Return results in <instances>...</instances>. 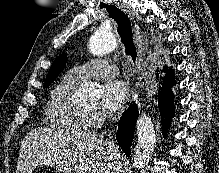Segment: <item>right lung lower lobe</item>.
<instances>
[{"label": "right lung lower lobe", "mask_w": 219, "mask_h": 173, "mask_svg": "<svg viewBox=\"0 0 219 173\" xmlns=\"http://www.w3.org/2000/svg\"><path fill=\"white\" fill-rule=\"evenodd\" d=\"M162 73L166 74V77L164 78L165 83L162 84V88L159 87L158 103L162 122V133L163 137H165L170 127L172 117L174 116V100L172 99L174 95L171 91V87L175 85L176 82L172 69L163 68ZM156 78H159L158 73ZM138 114L137 105L131 104L119 121L116 139L127 156H130V147Z\"/></svg>", "instance_id": "98d812e1"}]
</instances>
